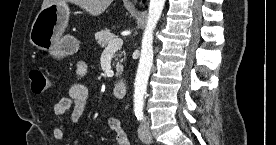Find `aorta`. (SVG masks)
<instances>
[{"instance_id": "1", "label": "aorta", "mask_w": 276, "mask_h": 145, "mask_svg": "<svg viewBox=\"0 0 276 145\" xmlns=\"http://www.w3.org/2000/svg\"><path fill=\"white\" fill-rule=\"evenodd\" d=\"M165 0H150L148 18L142 37L141 54L135 79L134 105L142 106L153 64V33L161 17Z\"/></svg>"}]
</instances>
